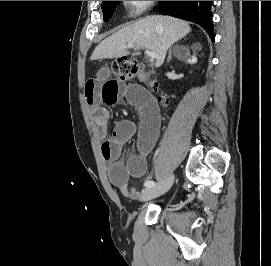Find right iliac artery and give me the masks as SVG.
Segmentation results:
<instances>
[{
  "mask_svg": "<svg viewBox=\"0 0 271 266\" xmlns=\"http://www.w3.org/2000/svg\"><path fill=\"white\" fill-rule=\"evenodd\" d=\"M145 187L150 188L156 186V183L152 180H148L144 183Z\"/></svg>",
  "mask_w": 271,
  "mask_h": 266,
  "instance_id": "right-iliac-artery-1",
  "label": "right iliac artery"
}]
</instances>
